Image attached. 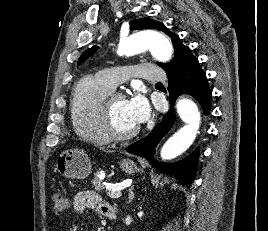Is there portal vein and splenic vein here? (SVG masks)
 Listing matches in <instances>:
<instances>
[{
    "label": "portal vein and splenic vein",
    "mask_w": 268,
    "mask_h": 231,
    "mask_svg": "<svg viewBox=\"0 0 268 231\" xmlns=\"http://www.w3.org/2000/svg\"><path fill=\"white\" fill-rule=\"evenodd\" d=\"M108 196L113 199H117L121 197V191L119 188H116L114 186H109L108 187Z\"/></svg>",
    "instance_id": "18ae733b"
}]
</instances>
